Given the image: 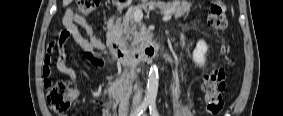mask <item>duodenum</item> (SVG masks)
Masks as SVG:
<instances>
[{
  "instance_id": "410a0bca",
  "label": "duodenum",
  "mask_w": 283,
  "mask_h": 116,
  "mask_svg": "<svg viewBox=\"0 0 283 116\" xmlns=\"http://www.w3.org/2000/svg\"><path fill=\"white\" fill-rule=\"evenodd\" d=\"M124 9L123 5H118L115 9L114 15L109 19L107 24V36H108V47L111 52L119 59L122 63L130 68H135L141 62L151 61L155 54L158 52L159 48L157 46H146L142 49L137 50H125L123 49L116 38L113 35V29L117 16ZM134 81V73H130L128 76L120 79L118 85L129 90Z\"/></svg>"
}]
</instances>
